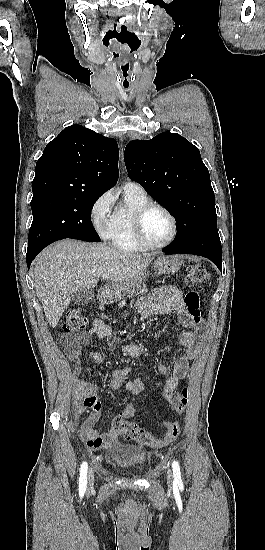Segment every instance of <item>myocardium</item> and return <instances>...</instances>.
Listing matches in <instances>:
<instances>
[{"mask_svg":"<svg viewBox=\"0 0 265 550\" xmlns=\"http://www.w3.org/2000/svg\"><path fill=\"white\" fill-rule=\"evenodd\" d=\"M153 209H159L163 211L171 221V228H172L171 234L169 238L161 244L150 243L144 234V219L146 215ZM177 228H178L177 220L174 214L167 207L159 203L148 202L147 204L141 206L139 209H137L133 219V232H134L135 239L138 242V244L145 249L155 250V249H162L169 246L171 243H173V241L177 236V232H178Z\"/></svg>","mask_w":265,"mask_h":550,"instance_id":"obj_1","label":"myocardium"}]
</instances>
